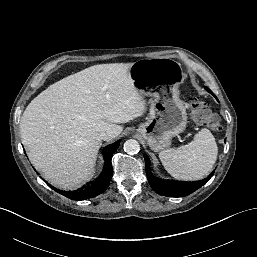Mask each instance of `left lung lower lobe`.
Masks as SVG:
<instances>
[{
    "label": "left lung lower lobe",
    "mask_w": 257,
    "mask_h": 257,
    "mask_svg": "<svg viewBox=\"0 0 257 257\" xmlns=\"http://www.w3.org/2000/svg\"><path fill=\"white\" fill-rule=\"evenodd\" d=\"M145 165H146V174L147 179L149 181L152 189L160 195L168 196V197H183L191 194L192 192L199 189L205 183L209 181V179L213 176L214 173L203 179L201 181L196 182H179V181H170V180H162L158 177H155L150 171V160L147 155L144 154Z\"/></svg>",
    "instance_id": "left-lung-lower-lobe-1"
}]
</instances>
